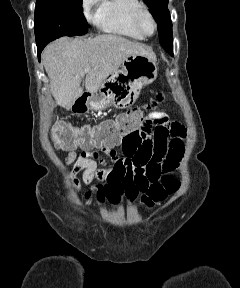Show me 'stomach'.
<instances>
[{
  "instance_id": "obj_1",
  "label": "stomach",
  "mask_w": 240,
  "mask_h": 288,
  "mask_svg": "<svg viewBox=\"0 0 240 288\" xmlns=\"http://www.w3.org/2000/svg\"><path fill=\"white\" fill-rule=\"evenodd\" d=\"M157 77V61L150 55L132 54L101 85L99 93L92 95L88 106L92 111L111 106L129 107L138 99L142 88Z\"/></svg>"
}]
</instances>
